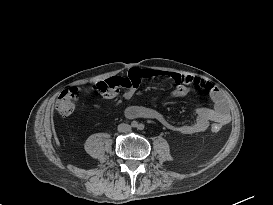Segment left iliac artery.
<instances>
[{"mask_svg": "<svg viewBox=\"0 0 273 205\" xmlns=\"http://www.w3.org/2000/svg\"><path fill=\"white\" fill-rule=\"evenodd\" d=\"M139 129H140V130H143V129H144V125H143V124H140V125H139Z\"/></svg>", "mask_w": 273, "mask_h": 205, "instance_id": "left-iliac-artery-1", "label": "left iliac artery"}]
</instances>
